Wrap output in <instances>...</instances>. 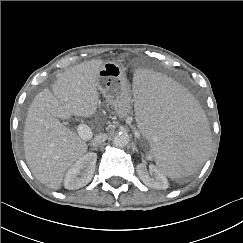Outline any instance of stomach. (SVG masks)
<instances>
[{"label":"stomach","instance_id":"obj_1","mask_svg":"<svg viewBox=\"0 0 243 243\" xmlns=\"http://www.w3.org/2000/svg\"><path fill=\"white\" fill-rule=\"evenodd\" d=\"M98 89L119 117L130 114V85L117 63L109 61L102 65L98 72Z\"/></svg>","mask_w":243,"mask_h":243}]
</instances>
